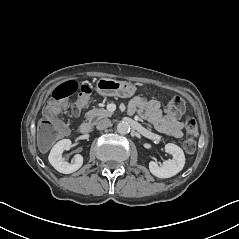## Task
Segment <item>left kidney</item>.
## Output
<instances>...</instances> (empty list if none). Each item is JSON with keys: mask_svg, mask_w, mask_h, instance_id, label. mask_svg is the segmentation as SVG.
<instances>
[{"mask_svg": "<svg viewBox=\"0 0 239 239\" xmlns=\"http://www.w3.org/2000/svg\"><path fill=\"white\" fill-rule=\"evenodd\" d=\"M164 151L172 156V160L165 161L162 167H159L155 162L149 163L150 172L154 176L162 179L170 178L178 174L183 169L185 163L183 150L179 146L168 143L165 145Z\"/></svg>", "mask_w": 239, "mask_h": 239, "instance_id": "obj_1", "label": "left kidney"}]
</instances>
